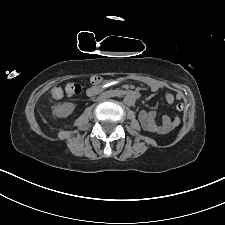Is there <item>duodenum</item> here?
Returning a JSON list of instances; mask_svg holds the SVG:
<instances>
[{
    "label": "duodenum",
    "instance_id": "410a0bca",
    "mask_svg": "<svg viewBox=\"0 0 225 225\" xmlns=\"http://www.w3.org/2000/svg\"><path fill=\"white\" fill-rule=\"evenodd\" d=\"M120 95H125L130 100L139 98V94L136 92H124L123 93L119 90L106 91V92L99 94V96L101 98H108V97H114V96H120Z\"/></svg>",
    "mask_w": 225,
    "mask_h": 225
}]
</instances>
